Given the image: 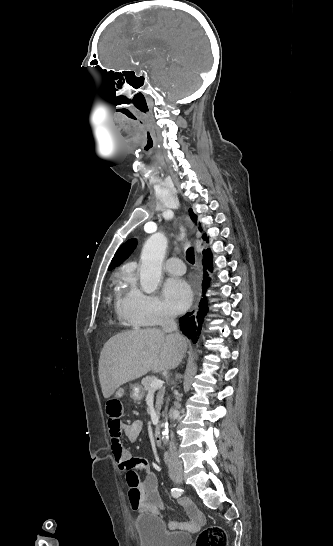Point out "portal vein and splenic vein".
Segmentation results:
<instances>
[{
  "instance_id": "portal-vein-and-splenic-vein-1",
  "label": "portal vein and splenic vein",
  "mask_w": 333,
  "mask_h": 546,
  "mask_svg": "<svg viewBox=\"0 0 333 546\" xmlns=\"http://www.w3.org/2000/svg\"><path fill=\"white\" fill-rule=\"evenodd\" d=\"M163 383L164 382L161 379L155 378L150 384V390H157L161 388L163 386Z\"/></svg>"
}]
</instances>
